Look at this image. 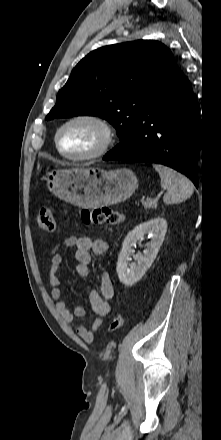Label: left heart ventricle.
I'll return each mask as SVG.
<instances>
[{
    "instance_id": "1",
    "label": "left heart ventricle",
    "mask_w": 221,
    "mask_h": 440,
    "mask_svg": "<svg viewBox=\"0 0 221 440\" xmlns=\"http://www.w3.org/2000/svg\"><path fill=\"white\" fill-rule=\"evenodd\" d=\"M62 151L83 155L95 150L101 142V132L93 124L77 122L66 127L59 138Z\"/></svg>"
}]
</instances>
